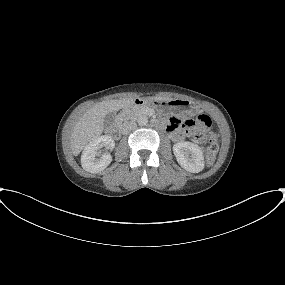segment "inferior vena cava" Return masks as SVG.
<instances>
[{
	"instance_id": "obj_1",
	"label": "inferior vena cava",
	"mask_w": 285,
	"mask_h": 285,
	"mask_svg": "<svg viewBox=\"0 0 285 285\" xmlns=\"http://www.w3.org/2000/svg\"><path fill=\"white\" fill-rule=\"evenodd\" d=\"M137 124L135 122H126L122 126V133L127 134L130 131L134 130L136 128Z\"/></svg>"
}]
</instances>
